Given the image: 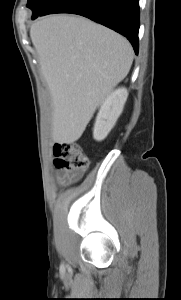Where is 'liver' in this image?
Returning <instances> with one entry per match:
<instances>
[{"label": "liver", "mask_w": 181, "mask_h": 300, "mask_svg": "<svg viewBox=\"0 0 181 300\" xmlns=\"http://www.w3.org/2000/svg\"><path fill=\"white\" fill-rule=\"evenodd\" d=\"M30 37L52 97V139L73 143L127 76L132 46L111 29L70 15L39 19L31 25Z\"/></svg>", "instance_id": "6515ba94"}]
</instances>
